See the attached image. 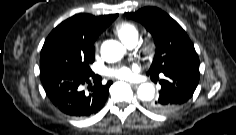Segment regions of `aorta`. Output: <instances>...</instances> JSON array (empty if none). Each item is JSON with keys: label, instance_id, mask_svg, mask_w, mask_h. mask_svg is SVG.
Here are the masks:
<instances>
[{"label": "aorta", "instance_id": "aorta-1", "mask_svg": "<svg viewBox=\"0 0 236 135\" xmlns=\"http://www.w3.org/2000/svg\"><path fill=\"white\" fill-rule=\"evenodd\" d=\"M125 54V47L115 40H106L101 46V57L112 63L119 61ZM138 98L142 101H151L155 95V88L150 83L141 84L137 90Z\"/></svg>", "mask_w": 236, "mask_h": 135}]
</instances>
